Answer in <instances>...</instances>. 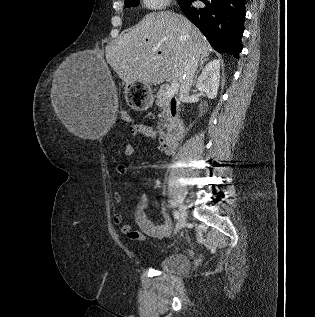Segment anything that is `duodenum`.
<instances>
[{
    "label": "duodenum",
    "instance_id": "1",
    "mask_svg": "<svg viewBox=\"0 0 315 317\" xmlns=\"http://www.w3.org/2000/svg\"><path fill=\"white\" fill-rule=\"evenodd\" d=\"M170 109L173 116H176L177 111V99L172 97L170 100ZM184 131L183 122L175 117V120L171 124L170 128L167 131H164L160 134L159 142L167 154H172L177 148L178 140L181 138Z\"/></svg>",
    "mask_w": 315,
    "mask_h": 317
}]
</instances>
